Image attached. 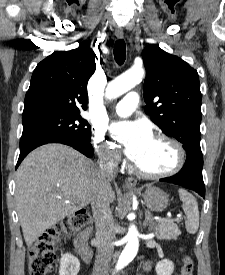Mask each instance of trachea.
<instances>
[{"label": "trachea", "instance_id": "1", "mask_svg": "<svg viewBox=\"0 0 225 275\" xmlns=\"http://www.w3.org/2000/svg\"><path fill=\"white\" fill-rule=\"evenodd\" d=\"M126 56V44L123 39L117 40L114 45V58L119 65H122Z\"/></svg>", "mask_w": 225, "mask_h": 275}]
</instances>
